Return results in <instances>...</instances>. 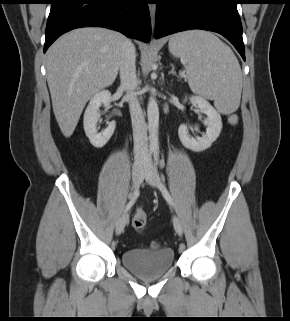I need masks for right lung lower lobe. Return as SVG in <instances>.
Wrapping results in <instances>:
<instances>
[{"mask_svg": "<svg viewBox=\"0 0 290 321\" xmlns=\"http://www.w3.org/2000/svg\"><path fill=\"white\" fill-rule=\"evenodd\" d=\"M148 0H51L44 52L63 33L79 27H106L150 41Z\"/></svg>", "mask_w": 290, "mask_h": 321, "instance_id": "98d812e1", "label": "right lung lower lobe"}]
</instances>
